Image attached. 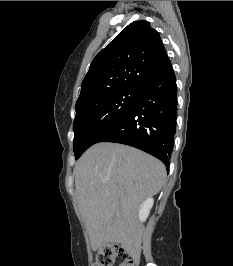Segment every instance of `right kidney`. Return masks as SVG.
Listing matches in <instances>:
<instances>
[{
  "instance_id": "right-kidney-1",
  "label": "right kidney",
  "mask_w": 233,
  "mask_h": 266,
  "mask_svg": "<svg viewBox=\"0 0 233 266\" xmlns=\"http://www.w3.org/2000/svg\"><path fill=\"white\" fill-rule=\"evenodd\" d=\"M154 200L152 197H148L142 204L139 210V219L141 222L145 221L149 215L150 209L152 208Z\"/></svg>"
}]
</instances>
